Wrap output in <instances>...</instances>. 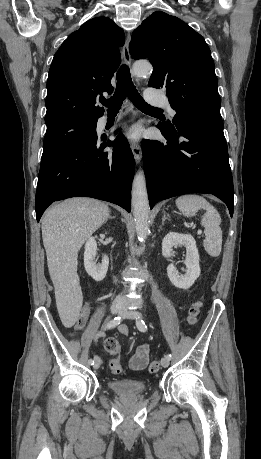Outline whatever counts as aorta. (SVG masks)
I'll list each match as a JSON object with an SVG mask.
<instances>
[{
    "label": "aorta",
    "mask_w": 261,
    "mask_h": 459,
    "mask_svg": "<svg viewBox=\"0 0 261 459\" xmlns=\"http://www.w3.org/2000/svg\"><path fill=\"white\" fill-rule=\"evenodd\" d=\"M152 66L146 62H136L133 72L138 77H146L152 73ZM132 208L136 224V233L140 242H145L149 234V201L146 180L143 171H138L132 185Z\"/></svg>",
    "instance_id": "aorta-1"
}]
</instances>
